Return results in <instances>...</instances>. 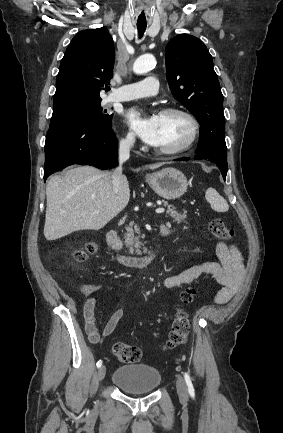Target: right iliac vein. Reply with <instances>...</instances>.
<instances>
[{"label":"right iliac vein","mask_w":283,"mask_h":433,"mask_svg":"<svg viewBox=\"0 0 283 433\" xmlns=\"http://www.w3.org/2000/svg\"><path fill=\"white\" fill-rule=\"evenodd\" d=\"M105 374H106V367L104 365H102L98 369V374H97L98 380L102 381L104 379V377H105Z\"/></svg>","instance_id":"1"}]
</instances>
